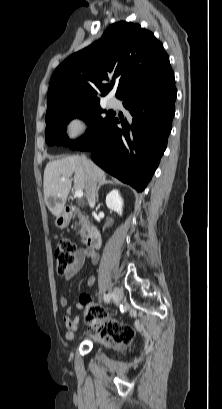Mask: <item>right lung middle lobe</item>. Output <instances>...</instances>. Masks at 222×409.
I'll return each instance as SVG.
<instances>
[{
	"instance_id": "dd1d6c3e",
	"label": "right lung middle lobe",
	"mask_w": 222,
	"mask_h": 409,
	"mask_svg": "<svg viewBox=\"0 0 222 409\" xmlns=\"http://www.w3.org/2000/svg\"><path fill=\"white\" fill-rule=\"evenodd\" d=\"M100 107L99 102L85 104H71L50 110L46 113L45 139L49 145H69L71 149L89 147L101 140L105 134L114 113L107 112ZM80 116L89 125L85 135L71 142L66 135V125L74 117Z\"/></svg>"
}]
</instances>
